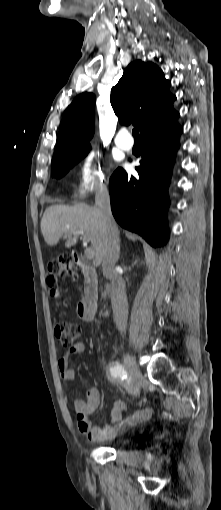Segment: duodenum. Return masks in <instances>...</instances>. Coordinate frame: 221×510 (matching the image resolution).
Masks as SVG:
<instances>
[{
  "label": "duodenum",
  "instance_id": "duodenum-1",
  "mask_svg": "<svg viewBox=\"0 0 221 510\" xmlns=\"http://www.w3.org/2000/svg\"><path fill=\"white\" fill-rule=\"evenodd\" d=\"M74 262L80 265L77 255H74ZM84 276L83 297L77 306L80 317L85 322L94 320L98 306V276L94 268L87 265H81Z\"/></svg>",
  "mask_w": 221,
  "mask_h": 510
}]
</instances>
